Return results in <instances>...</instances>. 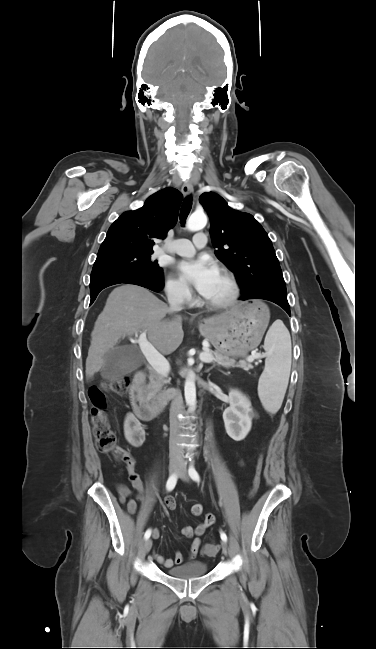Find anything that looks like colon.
I'll list each match as a JSON object with an SVG mask.
<instances>
[{"label": "colon", "mask_w": 376, "mask_h": 649, "mask_svg": "<svg viewBox=\"0 0 376 649\" xmlns=\"http://www.w3.org/2000/svg\"><path fill=\"white\" fill-rule=\"evenodd\" d=\"M129 387L130 379L127 376H120L104 382L101 386L92 387L88 391V397L92 404L90 410L92 432L97 448L101 452L112 454L116 460L124 463L127 468L134 466V460L126 450L117 444L115 433L110 427L104 408L106 391H111L117 395H125ZM262 467L263 459L262 456H259L256 463L251 494H254L259 486ZM217 552L218 546L214 543H207L204 546V553L208 556L215 555Z\"/></svg>", "instance_id": "1"}]
</instances>
